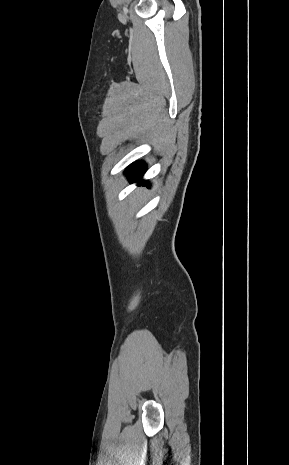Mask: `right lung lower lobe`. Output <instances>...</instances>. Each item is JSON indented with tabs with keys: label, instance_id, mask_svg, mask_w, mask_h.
I'll use <instances>...</instances> for the list:
<instances>
[{
	"label": "right lung lower lobe",
	"instance_id": "1",
	"mask_svg": "<svg viewBox=\"0 0 289 465\" xmlns=\"http://www.w3.org/2000/svg\"><path fill=\"white\" fill-rule=\"evenodd\" d=\"M146 171V164L144 162L138 161L131 166H129L125 173L130 182L140 181L139 185L149 186L148 181L141 180L143 174Z\"/></svg>",
	"mask_w": 289,
	"mask_h": 465
}]
</instances>
